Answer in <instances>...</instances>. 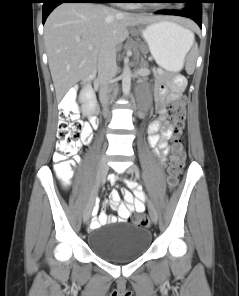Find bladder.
<instances>
[{"mask_svg": "<svg viewBox=\"0 0 239 296\" xmlns=\"http://www.w3.org/2000/svg\"><path fill=\"white\" fill-rule=\"evenodd\" d=\"M151 242L149 230L127 222L102 226L89 238L91 250L112 262L140 258L149 249Z\"/></svg>", "mask_w": 239, "mask_h": 296, "instance_id": "obj_1", "label": "bladder"}]
</instances>
